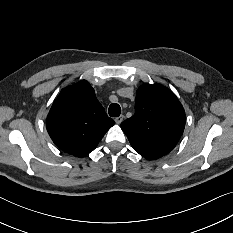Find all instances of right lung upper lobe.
I'll use <instances>...</instances> for the list:
<instances>
[{
    "mask_svg": "<svg viewBox=\"0 0 233 233\" xmlns=\"http://www.w3.org/2000/svg\"><path fill=\"white\" fill-rule=\"evenodd\" d=\"M113 125L85 80L62 89L47 116V131L53 142L77 157L94 150Z\"/></svg>",
    "mask_w": 233,
    "mask_h": 233,
    "instance_id": "obj_1",
    "label": "right lung upper lobe"
}]
</instances>
